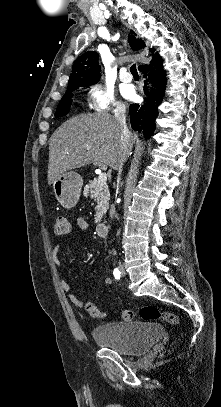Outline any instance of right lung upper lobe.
<instances>
[{
    "instance_id": "right-lung-upper-lobe-1",
    "label": "right lung upper lobe",
    "mask_w": 221,
    "mask_h": 407,
    "mask_svg": "<svg viewBox=\"0 0 221 407\" xmlns=\"http://www.w3.org/2000/svg\"><path fill=\"white\" fill-rule=\"evenodd\" d=\"M131 33L133 34L134 32L131 31ZM128 39L133 50H139L145 46L142 40L136 39L134 35H129ZM151 51L153 52V49ZM98 60L99 54L94 51H88L78 57L72 67L67 91L97 83L100 78Z\"/></svg>"
}]
</instances>
